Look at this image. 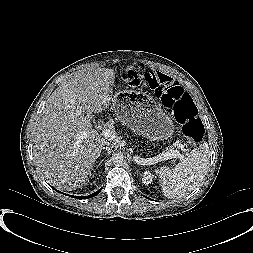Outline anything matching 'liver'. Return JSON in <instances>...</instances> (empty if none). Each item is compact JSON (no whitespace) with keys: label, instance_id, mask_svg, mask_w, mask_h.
Listing matches in <instances>:
<instances>
[{"label":"liver","instance_id":"obj_1","mask_svg":"<svg viewBox=\"0 0 253 253\" xmlns=\"http://www.w3.org/2000/svg\"><path fill=\"white\" fill-rule=\"evenodd\" d=\"M112 69L79 70L51 94L41 117L35 122L33 156L36 168L61 190L82 187L92 173L103 146L108 144L90 119L113 98Z\"/></svg>","mask_w":253,"mask_h":253}]
</instances>
